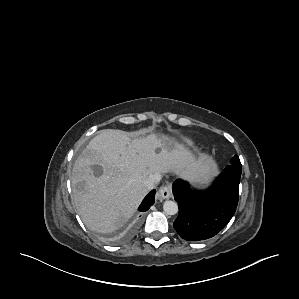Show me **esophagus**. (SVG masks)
Wrapping results in <instances>:
<instances>
[{
	"label": "esophagus",
	"mask_w": 299,
	"mask_h": 299,
	"mask_svg": "<svg viewBox=\"0 0 299 299\" xmlns=\"http://www.w3.org/2000/svg\"><path fill=\"white\" fill-rule=\"evenodd\" d=\"M172 195L170 184H166L160 187L156 194V199L159 201H163L165 199H169Z\"/></svg>",
	"instance_id": "1"
}]
</instances>
